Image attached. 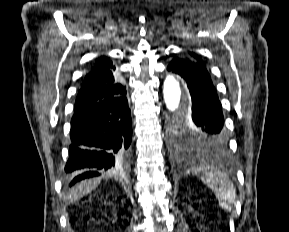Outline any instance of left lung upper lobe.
<instances>
[{"instance_id": "left-lung-upper-lobe-1", "label": "left lung upper lobe", "mask_w": 289, "mask_h": 232, "mask_svg": "<svg viewBox=\"0 0 289 232\" xmlns=\"http://www.w3.org/2000/svg\"><path fill=\"white\" fill-rule=\"evenodd\" d=\"M190 55L194 58V62L201 65H205L204 62L190 52ZM171 140L175 150L179 152H209L215 151L209 140L203 137L196 128L188 120V115L185 119H174L171 124Z\"/></svg>"}]
</instances>
